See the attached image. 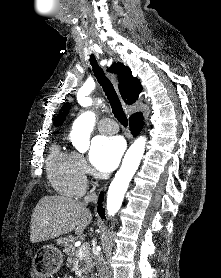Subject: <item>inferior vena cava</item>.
I'll return each instance as SVG.
<instances>
[{
    "label": "inferior vena cava",
    "mask_w": 221,
    "mask_h": 278,
    "mask_svg": "<svg viewBox=\"0 0 221 278\" xmlns=\"http://www.w3.org/2000/svg\"><path fill=\"white\" fill-rule=\"evenodd\" d=\"M96 201H97V195L95 193H93L89 196H86L84 198L83 202L85 204H88V202H96ZM92 258L94 261V265L97 268L99 278H110L109 269L103 258V255L101 253H99L98 251H95Z\"/></svg>",
    "instance_id": "obj_1"
}]
</instances>
